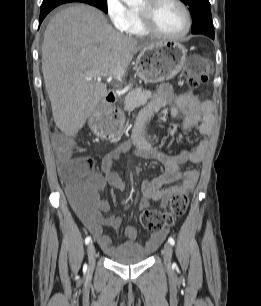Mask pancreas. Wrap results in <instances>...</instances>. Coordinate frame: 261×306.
<instances>
[{
    "instance_id": "obj_1",
    "label": "pancreas",
    "mask_w": 261,
    "mask_h": 306,
    "mask_svg": "<svg viewBox=\"0 0 261 306\" xmlns=\"http://www.w3.org/2000/svg\"><path fill=\"white\" fill-rule=\"evenodd\" d=\"M152 97V93L142 88H135L131 90L124 99V110L132 111L137 107L145 105Z\"/></svg>"
}]
</instances>
